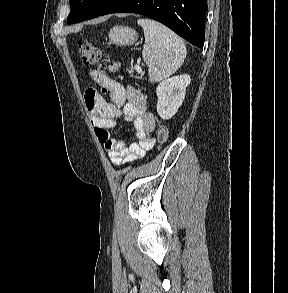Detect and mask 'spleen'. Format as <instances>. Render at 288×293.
Segmentation results:
<instances>
[{
  "label": "spleen",
  "mask_w": 288,
  "mask_h": 293,
  "mask_svg": "<svg viewBox=\"0 0 288 293\" xmlns=\"http://www.w3.org/2000/svg\"><path fill=\"white\" fill-rule=\"evenodd\" d=\"M144 30L145 43L142 56L149 66L151 82L161 81L172 75L186 58L182 39L165 25L152 19H139Z\"/></svg>",
  "instance_id": "obj_1"
}]
</instances>
